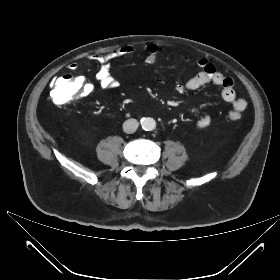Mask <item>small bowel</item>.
Segmentation results:
<instances>
[{"label":"small bowel","instance_id":"small-bowel-1","mask_svg":"<svg viewBox=\"0 0 280 280\" xmlns=\"http://www.w3.org/2000/svg\"><path fill=\"white\" fill-rule=\"evenodd\" d=\"M137 49L131 45L122 46L116 50H112L106 53L95 54L90 57V60L99 64V68L95 74V81L101 88H117L120 85V81L116 78L110 69V63L116 58H126L133 56ZM158 47L154 44L146 46V58L145 61L148 64H153L158 58ZM198 66L201 71L194 77L188 79L186 82L178 83L176 90L183 93L187 90H197L208 84H215L221 87L220 96L221 98L232 104L233 110L229 113L230 119L234 114H239L246 109L247 101L244 98L237 97L234 91V82L232 78L225 75L223 72L218 70L213 64L206 59H200ZM70 71H76L78 69L77 63H70L68 65ZM81 93L84 95H90L95 88V84L90 81L82 79ZM210 116H203L196 122L198 129H205L211 124Z\"/></svg>","mask_w":280,"mask_h":280}]
</instances>
